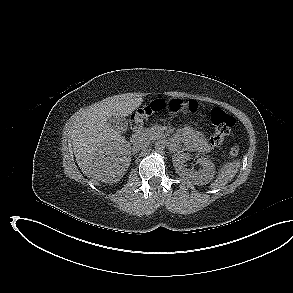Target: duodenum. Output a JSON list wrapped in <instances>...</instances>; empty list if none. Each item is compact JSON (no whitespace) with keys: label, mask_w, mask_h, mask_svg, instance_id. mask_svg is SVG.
<instances>
[{"label":"duodenum","mask_w":293,"mask_h":293,"mask_svg":"<svg viewBox=\"0 0 293 293\" xmlns=\"http://www.w3.org/2000/svg\"><path fill=\"white\" fill-rule=\"evenodd\" d=\"M143 140V135L140 129L136 130L132 136V142L134 145H138Z\"/></svg>","instance_id":"obj_1"}]
</instances>
